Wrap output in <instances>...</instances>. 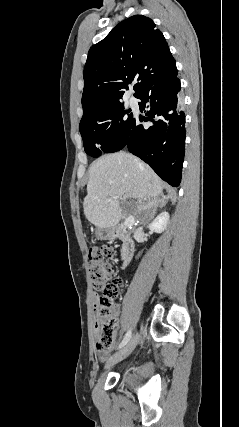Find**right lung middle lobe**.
Here are the masks:
<instances>
[{
    "mask_svg": "<svg viewBox=\"0 0 239 427\" xmlns=\"http://www.w3.org/2000/svg\"><path fill=\"white\" fill-rule=\"evenodd\" d=\"M133 114L121 101L102 103L83 115L79 130L85 152L98 157L102 152H116L127 141Z\"/></svg>",
    "mask_w": 239,
    "mask_h": 427,
    "instance_id": "1",
    "label": "right lung middle lobe"
}]
</instances>
